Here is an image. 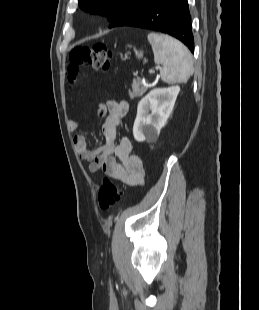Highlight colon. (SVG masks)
<instances>
[{
  "label": "colon",
  "instance_id": "obj_1",
  "mask_svg": "<svg viewBox=\"0 0 259 310\" xmlns=\"http://www.w3.org/2000/svg\"><path fill=\"white\" fill-rule=\"evenodd\" d=\"M111 55L112 51L110 47L102 43L75 48L70 54V81L72 83L77 82L80 66H87L98 71H106L109 68ZM122 194V190L111 179L105 178L98 192L100 208L102 210L109 209L119 201Z\"/></svg>",
  "mask_w": 259,
  "mask_h": 310
}]
</instances>
